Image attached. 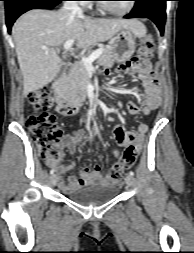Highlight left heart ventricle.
Here are the masks:
<instances>
[{
  "label": "left heart ventricle",
  "mask_w": 194,
  "mask_h": 253,
  "mask_svg": "<svg viewBox=\"0 0 194 253\" xmlns=\"http://www.w3.org/2000/svg\"><path fill=\"white\" fill-rule=\"evenodd\" d=\"M105 4L111 7L112 9L120 11L128 6L129 1H109L106 2Z\"/></svg>",
  "instance_id": "1"
}]
</instances>
